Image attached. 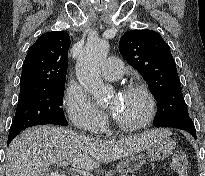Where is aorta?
<instances>
[{
	"label": "aorta",
	"instance_id": "762f6f07",
	"mask_svg": "<svg viewBox=\"0 0 205 176\" xmlns=\"http://www.w3.org/2000/svg\"><path fill=\"white\" fill-rule=\"evenodd\" d=\"M108 51V41H88L76 64V76L79 83L97 102L104 101L110 93L101 78V65Z\"/></svg>",
	"mask_w": 205,
	"mask_h": 176
}]
</instances>
